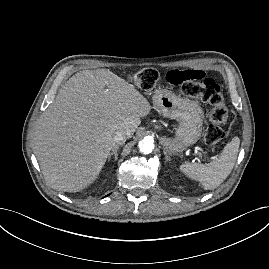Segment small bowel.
Instances as JSON below:
<instances>
[{
    "label": "small bowel",
    "instance_id": "obj_1",
    "mask_svg": "<svg viewBox=\"0 0 269 269\" xmlns=\"http://www.w3.org/2000/svg\"><path fill=\"white\" fill-rule=\"evenodd\" d=\"M206 78L207 73L204 70H195L192 67H186L171 72H164L162 74V79L164 81H169L172 84L192 80H205Z\"/></svg>",
    "mask_w": 269,
    "mask_h": 269
}]
</instances>
